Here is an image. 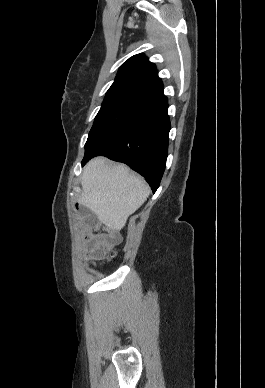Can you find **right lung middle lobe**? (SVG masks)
<instances>
[{
	"label": "right lung middle lobe",
	"mask_w": 265,
	"mask_h": 388,
	"mask_svg": "<svg viewBox=\"0 0 265 388\" xmlns=\"http://www.w3.org/2000/svg\"><path fill=\"white\" fill-rule=\"evenodd\" d=\"M148 101L128 94L106 93L100 111L95 117L93 127L85 144V155L88 154L100 141L119 128Z\"/></svg>",
	"instance_id": "right-lung-middle-lobe-1"
}]
</instances>
